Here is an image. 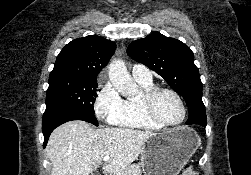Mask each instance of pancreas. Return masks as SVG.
Returning <instances> with one entry per match:
<instances>
[{"label":"pancreas","instance_id":"1","mask_svg":"<svg viewBox=\"0 0 251 175\" xmlns=\"http://www.w3.org/2000/svg\"><path fill=\"white\" fill-rule=\"evenodd\" d=\"M116 175H142V169L140 163H132V165H127V167H121L115 171Z\"/></svg>","mask_w":251,"mask_h":175}]
</instances>
